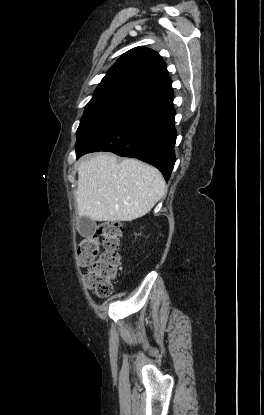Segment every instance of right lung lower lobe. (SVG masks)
Returning <instances> with one entry per match:
<instances>
[{
  "instance_id": "right-lung-lower-lobe-1",
  "label": "right lung lower lobe",
  "mask_w": 264,
  "mask_h": 415,
  "mask_svg": "<svg viewBox=\"0 0 264 415\" xmlns=\"http://www.w3.org/2000/svg\"><path fill=\"white\" fill-rule=\"evenodd\" d=\"M173 98L170 89L142 100L85 147L76 150V158L89 152L110 151L149 163L168 180L176 160Z\"/></svg>"
}]
</instances>
